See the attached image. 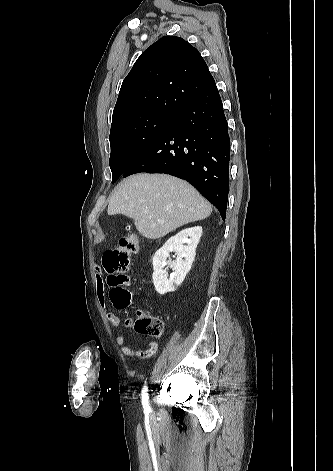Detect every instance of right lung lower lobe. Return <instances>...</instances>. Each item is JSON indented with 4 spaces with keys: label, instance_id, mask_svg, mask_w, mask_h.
Wrapping results in <instances>:
<instances>
[{
    "label": "right lung lower lobe",
    "instance_id": "right-lung-lower-lobe-1",
    "mask_svg": "<svg viewBox=\"0 0 333 471\" xmlns=\"http://www.w3.org/2000/svg\"><path fill=\"white\" fill-rule=\"evenodd\" d=\"M229 161L228 125L215 84L181 108L122 177L147 172L184 179L216 206L225 220Z\"/></svg>",
    "mask_w": 333,
    "mask_h": 471
}]
</instances>
